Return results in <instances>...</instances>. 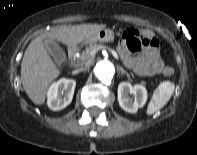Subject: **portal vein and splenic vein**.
Returning a JSON list of instances; mask_svg holds the SVG:
<instances>
[{
    "label": "portal vein and splenic vein",
    "mask_w": 197,
    "mask_h": 155,
    "mask_svg": "<svg viewBox=\"0 0 197 155\" xmlns=\"http://www.w3.org/2000/svg\"><path fill=\"white\" fill-rule=\"evenodd\" d=\"M109 51L111 52V54H112L116 59H119L117 53H116L114 50L109 49Z\"/></svg>",
    "instance_id": "18ae733b"
}]
</instances>
